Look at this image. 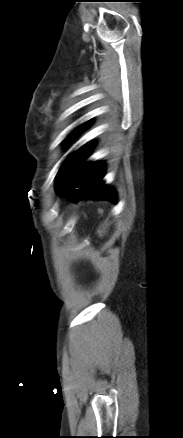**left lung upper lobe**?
Listing matches in <instances>:
<instances>
[{"label": "left lung upper lobe", "instance_id": "obj_1", "mask_svg": "<svg viewBox=\"0 0 183 438\" xmlns=\"http://www.w3.org/2000/svg\"><path fill=\"white\" fill-rule=\"evenodd\" d=\"M88 125H89L88 122H86V123L80 125V126L77 127V128H76V129H75V130H74L69 136H71L72 134H76V133L82 131V130L85 129Z\"/></svg>", "mask_w": 183, "mask_h": 438}]
</instances>
